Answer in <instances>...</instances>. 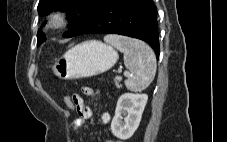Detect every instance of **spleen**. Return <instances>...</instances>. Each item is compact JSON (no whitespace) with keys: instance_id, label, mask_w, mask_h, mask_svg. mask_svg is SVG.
Here are the masks:
<instances>
[{"instance_id":"1","label":"spleen","mask_w":227,"mask_h":142,"mask_svg":"<svg viewBox=\"0 0 227 142\" xmlns=\"http://www.w3.org/2000/svg\"><path fill=\"white\" fill-rule=\"evenodd\" d=\"M104 41L124 53V64L130 71L124 82L127 89L136 92L146 89L156 74V57L152 48L140 40L116 34L105 36Z\"/></svg>"}]
</instances>
